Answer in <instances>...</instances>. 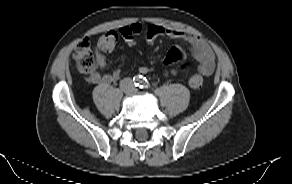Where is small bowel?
I'll return each mask as SVG.
<instances>
[{"label": "small bowel", "mask_w": 292, "mask_h": 184, "mask_svg": "<svg viewBox=\"0 0 292 184\" xmlns=\"http://www.w3.org/2000/svg\"><path fill=\"white\" fill-rule=\"evenodd\" d=\"M162 35H166L173 39L183 40L194 59L199 63V72L204 76H209L213 73L215 67V57L214 53L209 47V45L203 41L200 37L179 31L171 28L161 27ZM143 31V27L140 23L135 22L127 26H123L119 29V33L124 39V41L129 45L133 46L136 43V37L140 35ZM125 57L122 56L121 62H124ZM107 64L106 57L103 54H98L96 56V67L98 69H104ZM152 69L147 66H141L139 72L146 74ZM170 73L175 74L176 71L172 70ZM121 75L120 69H115L110 73H100L98 71H92L89 74V81L91 83H113L116 82Z\"/></svg>", "instance_id": "obj_1"}]
</instances>
